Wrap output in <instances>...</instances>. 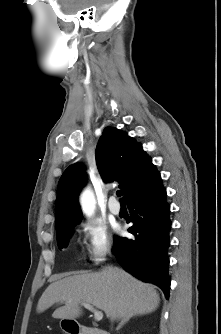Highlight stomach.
Returning <instances> with one entry per match:
<instances>
[{
  "label": "stomach",
  "instance_id": "1",
  "mask_svg": "<svg viewBox=\"0 0 221 334\" xmlns=\"http://www.w3.org/2000/svg\"><path fill=\"white\" fill-rule=\"evenodd\" d=\"M71 320H68V319H62L61 321H60V327L66 332L67 330V326H68V324H70V323H72V322H70ZM67 334H69L68 332H67Z\"/></svg>",
  "mask_w": 221,
  "mask_h": 334
}]
</instances>
